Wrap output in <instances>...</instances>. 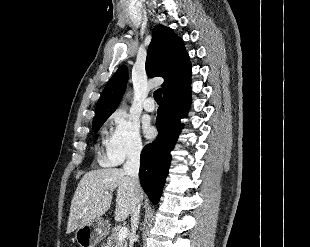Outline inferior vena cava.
Here are the masks:
<instances>
[{
    "label": "inferior vena cava",
    "mask_w": 310,
    "mask_h": 247,
    "mask_svg": "<svg viewBox=\"0 0 310 247\" xmlns=\"http://www.w3.org/2000/svg\"><path fill=\"white\" fill-rule=\"evenodd\" d=\"M142 150V145H137L134 147L129 153L127 160L123 166L124 172L131 178V190L135 196L137 189L140 187L139 183V167H140V153ZM139 211H140V203L135 198V204L133 206L131 212V238L130 244L131 247L136 239V230L138 226V219H139Z\"/></svg>",
    "instance_id": "inferior-vena-cava-1"
}]
</instances>
